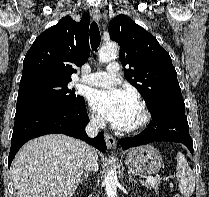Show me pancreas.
Returning <instances> with one entry per match:
<instances>
[{
  "label": "pancreas",
  "instance_id": "1",
  "mask_svg": "<svg viewBox=\"0 0 209 197\" xmlns=\"http://www.w3.org/2000/svg\"><path fill=\"white\" fill-rule=\"evenodd\" d=\"M159 183L160 182H155V183H152V184H148V183H143V185L147 188V189H154L155 190V192H157L158 191V186H159Z\"/></svg>",
  "mask_w": 209,
  "mask_h": 197
}]
</instances>
